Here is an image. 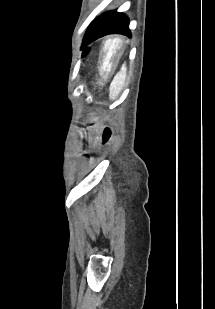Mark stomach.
Masks as SVG:
<instances>
[{"instance_id": "0dacf381", "label": "stomach", "mask_w": 215, "mask_h": 309, "mask_svg": "<svg viewBox=\"0 0 215 309\" xmlns=\"http://www.w3.org/2000/svg\"><path fill=\"white\" fill-rule=\"evenodd\" d=\"M122 45L123 39L120 37H111L104 42L103 52L105 55L100 66L102 75H108L112 71L115 57L120 56L118 52L121 50Z\"/></svg>"}]
</instances>
